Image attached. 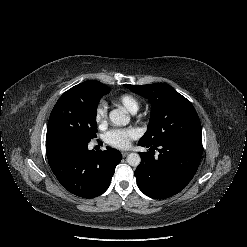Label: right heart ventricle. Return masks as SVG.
Instances as JSON below:
<instances>
[{
	"label": "right heart ventricle",
	"mask_w": 247,
	"mask_h": 247,
	"mask_svg": "<svg viewBox=\"0 0 247 247\" xmlns=\"http://www.w3.org/2000/svg\"><path fill=\"white\" fill-rule=\"evenodd\" d=\"M118 101L122 105H124L130 112H136L139 108V101L132 94H122L118 97Z\"/></svg>",
	"instance_id": "right-heart-ventricle-1"
}]
</instances>
